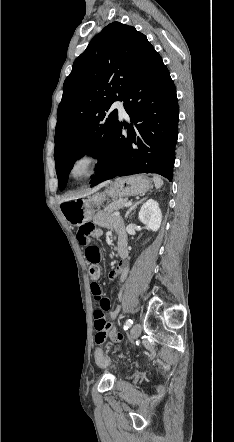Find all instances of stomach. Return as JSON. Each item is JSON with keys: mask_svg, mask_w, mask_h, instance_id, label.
I'll list each match as a JSON object with an SVG mask.
<instances>
[{"mask_svg": "<svg viewBox=\"0 0 234 442\" xmlns=\"http://www.w3.org/2000/svg\"><path fill=\"white\" fill-rule=\"evenodd\" d=\"M152 188L151 180L144 175H134L116 179L101 193L90 197H80L61 203L60 208L65 219L71 225H82L91 221L95 215L96 207L99 208L106 196L114 199L135 196L146 193Z\"/></svg>", "mask_w": 234, "mask_h": 442, "instance_id": "0dacf381", "label": "stomach"}]
</instances>
